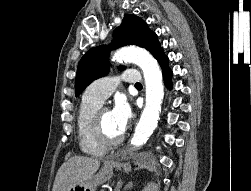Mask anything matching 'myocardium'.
Segmentation results:
<instances>
[{
    "instance_id": "obj_1",
    "label": "myocardium",
    "mask_w": 251,
    "mask_h": 191,
    "mask_svg": "<svg viewBox=\"0 0 251 191\" xmlns=\"http://www.w3.org/2000/svg\"><path fill=\"white\" fill-rule=\"evenodd\" d=\"M107 111L106 107L99 106L93 116V127L94 133L97 140L105 147H114L123 141V135L119 134L116 137L109 136L104 130L103 123L101 120V113Z\"/></svg>"
}]
</instances>
